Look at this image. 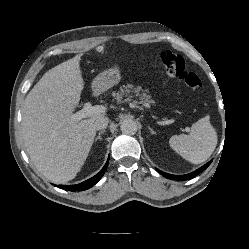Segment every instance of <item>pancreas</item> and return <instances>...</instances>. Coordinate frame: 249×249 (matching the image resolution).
I'll return each instance as SVG.
<instances>
[{
  "mask_svg": "<svg viewBox=\"0 0 249 249\" xmlns=\"http://www.w3.org/2000/svg\"><path fill=\"white\" fill-rule=\"evenodd\" d=\"M147 90H143L141 87H135L132 84L120 88V91L112 92V96L118 103L128 102V103H139V104H148L154 103L151 99V96L148 95ZM125 97V99H123Z\"/></svg>",
  "mask_w": 249,
  "mask_h": 249,
  "instance_id": "obj_1",
  "label": "pancreas"
}]
</instances>
